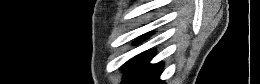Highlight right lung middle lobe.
<instances>
[{
  "label": "right lung middle lobe",
  "mask_w": 260,
  "mask_h": 84,
  "mask_svg": "<svg viewBox=\"0 0 260 84\" xmlns=\"http://www.w3.org/2000/svg\"><path fill=\"white\" fill-rule=\"evenodd\" d=\"M152 58V52H144L124 65L125 81L126 83H132L137 80L141 75L152 65H148V62Z\"/></svg>",
  "instance_id": "right-lung-middle-lobe-1"
}]
</instances>
